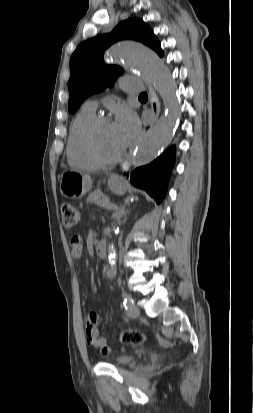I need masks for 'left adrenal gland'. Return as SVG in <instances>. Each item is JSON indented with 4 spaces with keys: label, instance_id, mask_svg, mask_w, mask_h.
<instances>
[{
    "label": "left adrenal gland",
    "instance_id": "1",
    "mask_svg": "<svg viewBox=\"0 0 253 413\" xmlns=\"http://www.w3.org/2000/svg\"><path fill=\"white\" fill-rule=\"evenodd\" d=\"M129 211L125 209V205L119 207V209L115 212L114 218L116 220H120L123 216H125Z\"/></svg>",
    "mask_w": 253,
    "mask_h": 413
}]
</instances>
